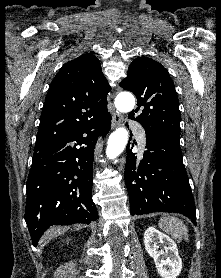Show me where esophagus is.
I'll return each mask as SVG.
<instances>
[{
	"instance_id": "esophagus-1",
	"label": "esophagus",
	"mask_w": 221,
	"mask_h": 278,
	"mask_svg": "<svg viewBox=\"0 0 221 278\" xmlns=\"http://www.w3.org/2000/svg\"><path fill=\"white\" fill-rule=\"evenodd\" d=\"M123 121V116L121 113L112 111V128H116L121 125Z\"/></svg>"
}]
</instances>
